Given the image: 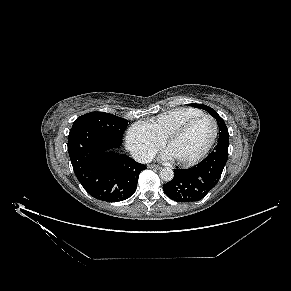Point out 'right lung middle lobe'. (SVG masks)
Wrapping results in <instances>:
<instances>
[{
    "label": "right lung middle lobe",
    "instance_id": "obj_1",
    "mask_svg": "<svg viewBox=\"0 0 291 291\" xmlns=\"http://www.w3.org/2000/svg\"><path fill=\"white\" fill-rule=\"evenodd\" d=\"M128 121L113 114L104 112H90L78 117L71 129L90 126L122 142L124 130Z\"/></svg>",
    "mask_w": 291,
    "mask_h": 291
}]
</instances>
